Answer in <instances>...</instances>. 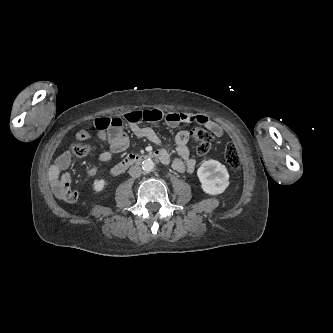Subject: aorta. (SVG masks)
I'll return each mask as SVG.
<instances>
[{"instance_id":"1","label":"aorta","mask_w":333,"mask_h":333,"mask_svg":"<svg viewBox=\"0 0 333 333\" xmlns=\"http://www.w3.org/2000/svg\"><path fill=\"white\" fill-rule=\"evenodd\" d=\"M142 169L146 172H150L154 169V162L148 158L142 162Z\"/></svg>"}]
</instances>
